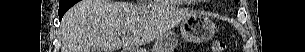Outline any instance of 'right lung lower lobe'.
<instances>
[{"instance_id": "1", "label": "right lung lower lobe", "mask_w": 305, "mask_h": 52, "mask_svg": "<svg viewBox=\"0 0 305 52\" xmlns=\"http://www.w3.org/2000/svg\"><path fill=\"white\" fill-rule=\"evenodd\" d=\"M75 3H77V0H60L59 3V18L62 19L65 12L73 6Z\"/></svg>"}]
</instances>
